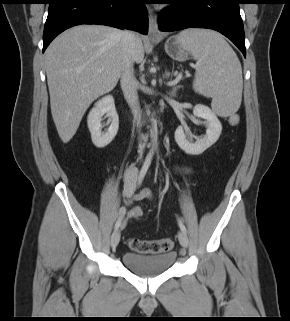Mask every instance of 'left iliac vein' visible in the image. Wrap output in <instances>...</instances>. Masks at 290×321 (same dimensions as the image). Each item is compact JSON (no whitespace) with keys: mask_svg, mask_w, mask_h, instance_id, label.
<instances>
[{"mask_svg":"<svg viewBox=\"0 0 290 321\" xmlns=\"http://www.w3.org/2000/svg\"><path fill=\"white\" fill-rule=\"evenodd\" d=\"M178 239H179V242L182 247H184V248L188 247L189 241H188V237L185 232L179 231L178 232Z\"/></svg>","mask_w":290,"mask_h":321,"instance_id":"4c4485c4","label":"left iliac vein"}]
</instances>
